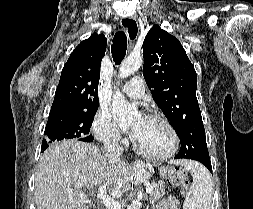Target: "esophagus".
<instances>
[{
  "label": "esophagus",
  "mask_w": 253,
  "mask_h": 209,
  "mask_svg": "<svg viewBox=\"0 0 253 209\" xmlns=\"http://www.w3.org/2000/svg\"><path fill=\"white\" fill-rule=\"evenodd\" d=\"M121 25L127 31L129 40L134 41L137 38L138 33H139V28H138L136 18L134 16L123 17L121 19ZM127 25L132 27V32H129V28ZM136 25H137V27H136Z\"/></svg>",
  "instance_id": "34e87169"
}]
</instances>
